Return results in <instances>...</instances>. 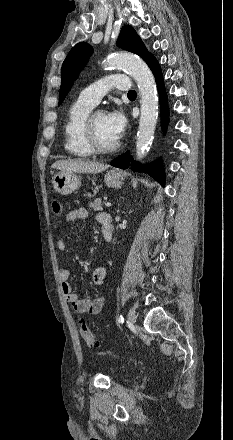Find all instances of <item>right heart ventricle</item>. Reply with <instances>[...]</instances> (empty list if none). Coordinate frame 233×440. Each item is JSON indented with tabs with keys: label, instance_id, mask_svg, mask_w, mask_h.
<instances>
[{
	"label": "right heart ventricle",
	"instance_id": "e07e8e85",
	"mask_svg": "<svg viewBox=\"0 0 233 440\" xmlns=\"http://www.w3.org/2000/svg\"><path fill=\"white\" fill-rule=\"evenodd\" d=\"M93 106L76 100L68 109L64 123L65 150L74 157L87 158L94 153L86 144L83 125Z\"/></svg>",
	"mask_w": 233,
	"mask_h": 440
}]
</instances>
